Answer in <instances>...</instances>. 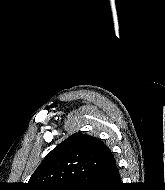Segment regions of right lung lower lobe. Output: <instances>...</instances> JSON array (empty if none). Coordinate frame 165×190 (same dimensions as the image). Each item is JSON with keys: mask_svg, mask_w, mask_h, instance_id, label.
<instances>
[{"mask_svg": "<svg viewBox=\"0 0 165 190\" xmlns=\"http://www.w3.org/2000/svg\"><path fill=\"white\" fill-rule=\"evenodd\" d=\"M79 190H122L118 167L113 158L107 163L88 172L80 181Z\"/></svg>", "mask_w": 165, "mask_h": 190, "instance_id": "1", "label": "right lung lower lobe"}]
</instances>
